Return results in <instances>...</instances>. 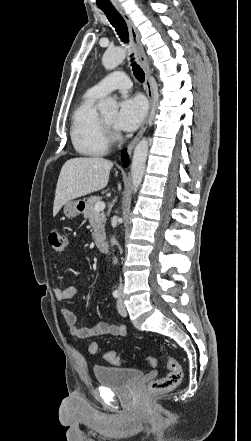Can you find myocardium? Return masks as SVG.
Instances as JSON below:
<instances>
[{
	"mask_svg": "<svg viewBox=\"0 0 251 441\" xmlns=\"http://www.w3.org/2000/svg\"><path fill=\"white\" fill-rule=\"evenodd\" d=\"M101 122L103 125V128L105 130V133L109 140H116L118 139V134L114 131L111 124H109L103 117L101 118Z\"/></svg>",
	"mask_w": 251,
	"mask_h": 441,
	"instance_id": "myocardium-1",
	"label": "myocardium"
}]
</instances>
